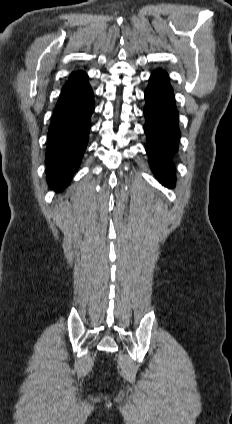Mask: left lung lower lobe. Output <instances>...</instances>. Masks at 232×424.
<instances>
[{"instance_id": "1", "label": "left lung lower lobe", "mask_w": 232, "mask_h": 424, "mask_svg": "<svg viewBox=\"0 0 232 424\" xmlns=\"http://www.w3.org/2000/svg\"><path fill=\"white\" fill-rule=\"evenodd\" d=\"M145 99L144 130L149 162L158 180L167 187H173L175 170L171 159L177 152L180 131L173 89L165 71L158 69L152 74Z\"/></svg>"}]
</instances>
